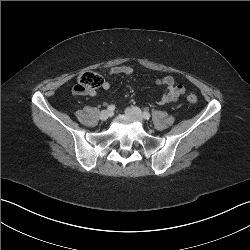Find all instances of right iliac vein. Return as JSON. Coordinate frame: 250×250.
I'll return each mask as SVG.
<instances>
[{
  "instance_id": "63e3f726",
  "label": "right iliac vein",
  "mask_w": 250,
  "mask_h": 250,
  "mask_svg": "<svg viewBox=\"0 0 250 250\" xmlns=\"http://www.w3.org/2000/svg\"><path fill=\"white\" fill-rule=\"evenodd\" d=\"M109 117H110V112L107 111V110H103L100 113V119L103 120V121H106Z\"/></svg>"
}]
</instances>
